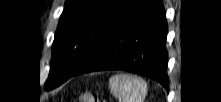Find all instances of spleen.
Masks as SVG:
<instances>
[{
	"instance_id": "1",
	"label": "spleen",
	"mask_w": 221,
	"mask_h": 102,
	"mask_svg": "<svg viewBox=\"0 0 221 102\" xmlns=\"http://www.w3.org/2000/svg\"><path fill=\"white\" fill-rule=\"evenodd\" d=\"M111 93L121 102H144L147 95L145 80L130 74H117L109 79Z\"/></svg>"
}]
</instances>
